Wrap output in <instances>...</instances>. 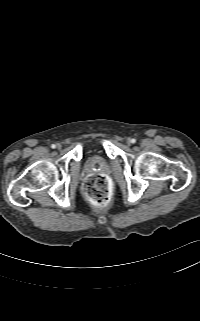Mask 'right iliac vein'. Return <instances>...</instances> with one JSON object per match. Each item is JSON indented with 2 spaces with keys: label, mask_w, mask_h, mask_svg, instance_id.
<instances>
[{
  "label": "right iliac vein",
  "mask_w": 200,
  "mask_h": 321,
  "mask_svg": "<svg viewBox=\"0 0 200 321\" xmlns=\"http://www.w3.org/2000/svg\"><path fill=\"white\" fill-rule=\"evenodd\" d=\"M56 148H57V149H61V144L58 143V144L56 145Z\"/></svg>",
  "instance_id": "obj_1"
}]
</instances>
